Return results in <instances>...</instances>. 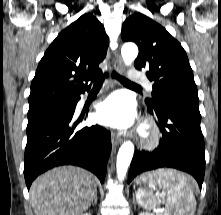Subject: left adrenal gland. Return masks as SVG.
Returning a JSON list of instances; mask_svg holds the SVG:
<instances>
[{
  "label": "left adrenal gland",
  "instance_id": "a2214340",
  "mask_svg": "<svg viewBox=\"0 0 221 215\" xmlns=\"http://www.w3.org/2000/svg\"><path fill=\"white\" fill-rule=\"evenodd\" d=\"M133 203L135 204V197H134V195H133Z\"/></svg>",
  "mask_w": 221,
  "mask_h": 215
}]
</instances>
